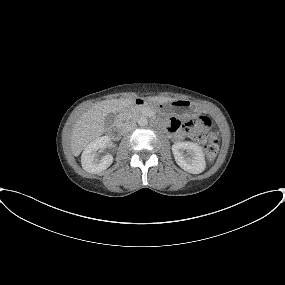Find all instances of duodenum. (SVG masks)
Instances as JSON below:
<instances>
[{"label":"duodenum","mask_w":285,"mask_h":285,"mask_svg":"<svg viewBox=\"0 0 285 285\" xmlns=\"http://www.w3.org/2000/svg\"><path fill=\"white\" fill-rule=\"evenodd\" d=\"M131 104L135 105V106H145L146 105V100L143 99V98H136V99H133L131 101ZM120 130H121V124H120V122H116L115 125L113 126L112 131L114 133H119Z\"/></svg>","instance_id":"1"}]
</instances>
